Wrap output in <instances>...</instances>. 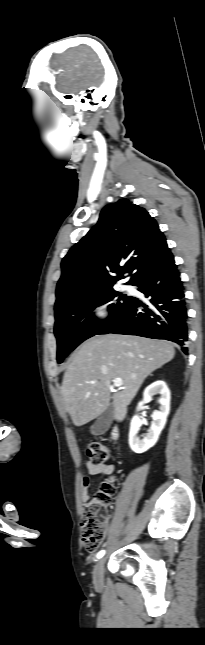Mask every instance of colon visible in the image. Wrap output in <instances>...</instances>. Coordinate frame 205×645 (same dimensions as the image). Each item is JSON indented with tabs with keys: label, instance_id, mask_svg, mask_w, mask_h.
I'll list each match as a JSON object with an SVG mask.
<instances>
[{
	"label": "colon",
	"instance_id": "5ec220e1",
	"mask_svg": "<svg viewBox=\"0 0 205 645\" xmlns=\"http://www.w3.org/2000/svg\"><path fill=\"white\" fill-rule=\"evenodd\" d=\"M87 456L91 463L103 465L109 459V448L101 442L87 446ZM112 480L104 481L94 495L82 507L81 538L84 548L95 552L103 543L107 533L108 508L115 494Z\"/></svg>",
	"mask_w": 205,
	"mask_h": 645
}]
</instances>
